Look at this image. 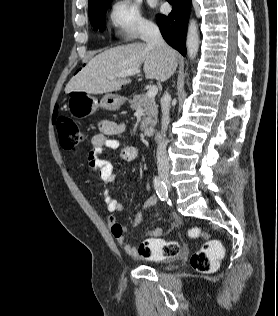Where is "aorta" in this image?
I'll return each instance as SVG.
<instances>
[{"label":"aorta","instance_id":"1","mask_svg":"<svg viewBox=\"0 0 278 316\" xmlns=\"http://www.w3.org/2000/svg\"><path fill=\"white\" fill-rule=\"evenodd\" d=\"M199 43L200 40L198 25L197 22L194 19H192L188 26L186 40L187 52L190 59H194L197 56L199 50Z\"/></svg>","mask_w":278,"mask_h":316}]
</instances>
